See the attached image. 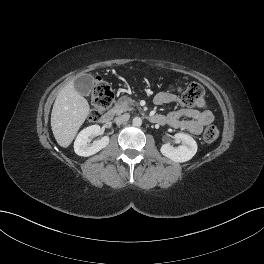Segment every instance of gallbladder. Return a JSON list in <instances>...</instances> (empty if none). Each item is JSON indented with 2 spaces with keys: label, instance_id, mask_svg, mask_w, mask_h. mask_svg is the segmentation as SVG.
Segmentation results:
<instances>
[{
  "label": "gallbladder",
  "instance_id": "1",
  "mask_svg": "<svg viewBox=\"0 0 264 264\" xmlns=\"http://www.w3.org/2000/svg\"><path fill=\"white\" fill-rule=\"evenodd\" d=\"M93 85L94 78L90 74L82 75L74 81L75 89L84 96L90 95Z\"/></svg>",
  "mask_w": 264,
  "mask_h": 264
}]
</instances>
